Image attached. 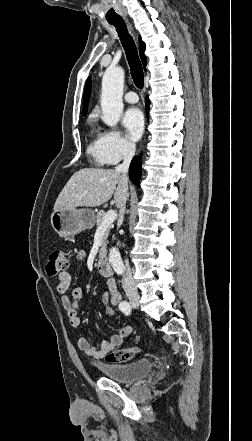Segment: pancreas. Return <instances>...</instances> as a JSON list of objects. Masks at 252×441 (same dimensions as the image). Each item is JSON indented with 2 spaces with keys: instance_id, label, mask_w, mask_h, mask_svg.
<instances>
[{
  "instance_id": "1",
  "label": "pancreas",
  "mask_w": 252,
  "mask_h": 441,
  "mask_svg": "<svg viewBox=\"0 0 252 441\" xmlns=\"http://www.w3.org/2000/svg\"><path fill=\"white\" fill-rule=\"evenodd\" d=\"M105 214L106 213L103 210H100L99 212H97V215L95 217V223H96L97 226L101 225ZM110 229H111V226L109 225L107 227V230H106V232L104 234V237H103V243H102V246H101L100 251H99V259H101L103 256H105L106 253H107V250H106V240L108 238Z\"/></svg>"
}]
</instances>
